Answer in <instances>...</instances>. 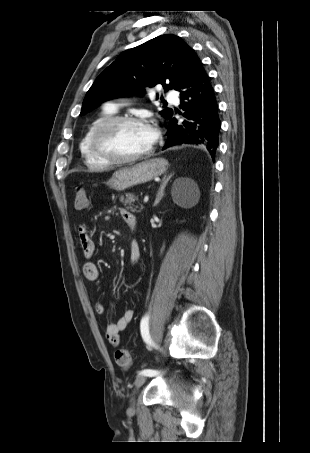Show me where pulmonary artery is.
<instances>
[{"mask_svg": "<svg viewBox=\"0 0 310 453\" xmlns=\"http://www.w3.org/2000/svg\"><path fill=\"white\" fill-rule=\"evenodd\" d=\"M165 97L168 101L177 102V100H178L176 93L173 91H167L165 93ZM107 107L114 111H116V109H117V106L115 104H108Z\"/></svg>", "mask_w": 310, "mask_h": 453, "instance_id": "1", "label": "pulmonary artery"}]
</instances>
